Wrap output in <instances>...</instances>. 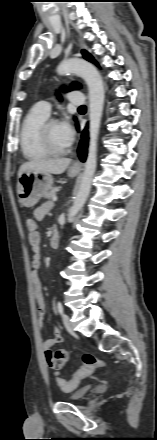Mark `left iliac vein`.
<instances>
[{
  "mask_svg": "<svg viewBox=\"0 0 157 440\" xmlns=\"http://www.w3.org/2000/svg\"><path fill=\"white\" fill-rule=\"evenodd\" d=\"M63 323L68 332L73 333V325L70 320V317L67 314L62 315Z\"/></svg>",
  "mask_w": 157,
  "mask_h": 440,
  "instance_id": "left-iliac-vein-1",
  "label": "left iliac vein"
}]
</instances>
